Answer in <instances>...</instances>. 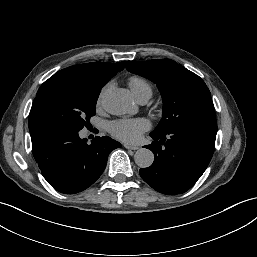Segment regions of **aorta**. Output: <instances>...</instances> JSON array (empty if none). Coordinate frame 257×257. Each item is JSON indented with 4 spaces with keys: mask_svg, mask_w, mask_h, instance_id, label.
<instances>
[{
    "mask_svg": "<svg viewBox=\"0 0 257 257\" xmlns=\"http://www.w3.org/2000/svg\"><path fill=\"white\" fill-rule=\"evenodd\" d=\"M103 107L111 114L123 115L131 113L134 105L128 90L119 87L105 89L101 95ZM135 163L140 168H147L153 164L154 154L151 150L140 148L134 155Z\"/></svg>",
    "mask_w": 257,
    "mask_h": 257,
    "instance_id": "762f6f07",
    "label": "aorta"
}]
</instances>
